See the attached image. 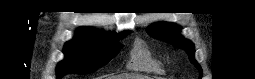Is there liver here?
Returning a JSON list of instances; mask_svg holds the SVG:
<instances>
[{"mask_svg":"<svg viewBox=\"0 0 255 79\" xmlns=\"http://www.w3.org/2000/svg\"><path fill=\"white\" fill-rule=\"evenodd\" d=\"M106 79H140V76H136V75H119V76H109Z\"/></svg>","mask_w":255,"mask_h":79,"instance_id":"1","label":"liver"}]
</instances>
